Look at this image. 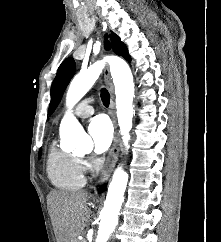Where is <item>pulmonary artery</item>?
Returning <instances> with one entry per match:
<instances>
[{"label":"pulmonary artery","mask_w":221,"mask_h":242,"mask_svg":"<svg viewBox=\"0 0 221 242\" xmlns=\"http://www.w3.org/2000/svg\"><path fill=\"white\" fill-rule=\"evenodd\" d=\"M93 97H88L83 99L80 103L74 108V114L78 117H88L94 112V108L91 105L93 102Z\"/></svg>","instance_id":"obj_1"}]
</instances>
